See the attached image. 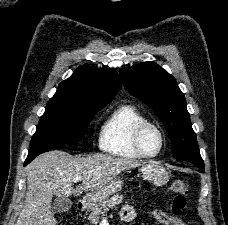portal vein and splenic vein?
Segmentation results:
<instances>
[{"instance_id": "portal-vein-and-splenic-vein-1", "label": "portal vein and splenic vein", "mask_w": 228, "mask_h": 225, "mask_svg": "<svg viewBox=\"0 0 228 225\" xmlns=\"http://www.w3.org/2000/svg\"><path fill=\"white\" fill-rule=\"evenodd\" d=\"M72 181H74V183H78V181H82V177H75Z\"/></svg>"}]
</instances>
